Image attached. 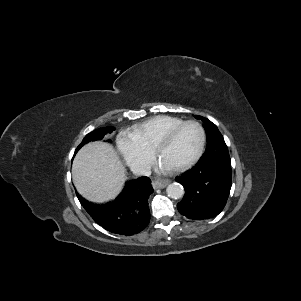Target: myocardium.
<instances>
[{
	"instance_id": "myocardium-1",
	"label": "myocardium",
	"mask_w": 301,
	"mask_h": 301,
	"mask_svg": "<svg viewBox=\"0 0 301 301\" xmlns=\"http://www.w3.org/2000/svg\"><path fill=\"white\" fill-rule=\"evenodd\" d=\"M186 125H195L198 128V130L200 132L199 145H198L197 151L195 152V154L193 155V157L191 159H189L187 162H185L179 166L173 167V170H175V171H182V170L188 169L189 167L194 165L201 157L203 150H204L205 141H206V133H205V129L202 126V124L196 120L183 121L180 124L176 125L175 127L171 128L170 130L163 133L156 140V142L153 146V152H154L155 156L157 158H160V148L163 145L170 142L176 136V134Z\"/></svg>"
}]
</instances>
